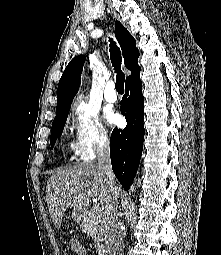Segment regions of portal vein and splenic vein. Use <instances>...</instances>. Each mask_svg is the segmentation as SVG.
<instances>
[{"label": "portal vein and splenic vein", "instance_id": "portal-vein-and-splenic-vein-1", "mask_svg": "<svg viewBox=\"0 0 221 255\" xmlns=\"http://www.w3.org/2000/svg\"><path fill=\"white\" fill-rule=\"evenodd\" d=\"M93 211L100 212L101 211V207L99 205H95Z\"/></svg>", "mask_w": 221, "mask_h": 255}]
</instances>
